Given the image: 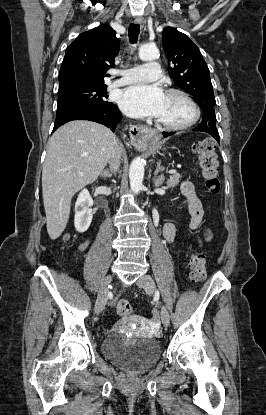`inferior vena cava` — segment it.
Here are the masks:
<instances>
[{"label": "inferior vena cava", "mask_w": 266, "mask_h": 415, "mask_svg": "<svg viewBox=\"0 0 266 415\" xmlns=\"http://www.w3.org/2000/svg\"><path fill=\"white\" fill-rule=\"evenodd\" d=\"M120 158H121V149L116 143L114 153L110 159V169L112 172H115L120 166Z\"/></svg>", "instance_id": "1"}]
</instances>
